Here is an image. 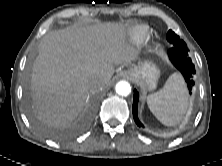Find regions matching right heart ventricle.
<instances>
[{
	"label": "right heart ventricle",
	"mask_w": 222,
	"mask_h": 166,
	"mask_svg": "<svg viewBox=\"0 0 222 166\" xmlns=\"http://www.w3.org/2000/svg\"><path fill=\"white\" fill-rule=\"evenodd\" d=\"M148 28L146 26H137L130 32V40L134 44L141 43L147 36Z\"/></svg>",
	"instance_id": "1"
}]
</instances>
